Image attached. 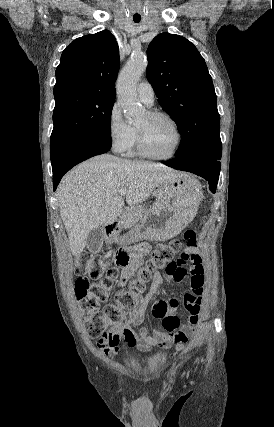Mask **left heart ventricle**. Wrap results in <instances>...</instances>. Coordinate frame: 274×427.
<instances>
[{
	"mask_svg": "<svg viewBox=\"0 0 274 427\" xmlns=\"http://www.w3.org/2000/svg\"><path fill=\"white\" fill-rule=\"evenodd\" d=\"M140 131L145 149L156 156H165L174 148L175 132L171 124L163 118L152 119L144 114L136 125Z\"/></svg>",
	"mask_w": 274,
	"mask_h": 427,
	"instance_id": "obj_1",
	"label": "left heart ventricle"
}]
</instances>
